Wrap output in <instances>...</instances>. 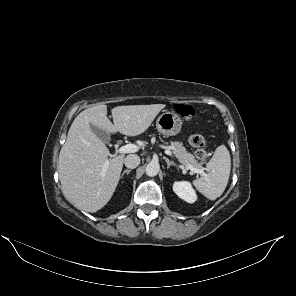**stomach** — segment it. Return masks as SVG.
I'll return each instance as SVG.
<instances>
[{
    "instance_id": "stomach-1",
    "label": "stomach",
    "mask_w": 296,
    "mask_h": 296,
    "mask_svg": "<svg viewBox=\"0 0 296 296\" xmlns=\"http://www.w3.org/2000/svg\"><path fill=\"white\" fill-rule=\"evenodd\" d=\"M156 127L163 135L173 136L180 132L182 120L177 113L173 111H166L158 117Z\"/></svg>"
}]
</instances>
